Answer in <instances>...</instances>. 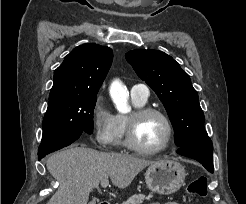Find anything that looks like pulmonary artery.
Here are the masks:
<instances>
[{"label":"pulmonary artery","instance_id":"1","mask_svg":"<svg viewBox=\"0 0 246 204\" xmlns=\"http://www.w3.org/2000/svg\"><path fill=\"white\" fill-rule=\"evenodd\" d=\"M131 97L133 99L146 102L149 97V89L145 84H135L131 88Z\"/></svg>","mask_w":246,"mask_h":204}]
</instances>
